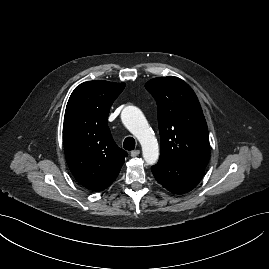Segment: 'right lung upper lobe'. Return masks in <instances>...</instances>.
Segmentation results:
<instances>
[{
	"mask_svg": "<svg viewBox=\"0 0 269 269\" xmlns=\"http://www.w3.org/2000/svg\"><path fill=\"white\" fill-rule=\"evenodd\" d=\"M124 87L104 80L84 82L67 103L63 125L67 164L75 179L93 191L111 185L128 155L116 145L107 124L110 107Z\"/></svg>",
	"mask_w": 269,
	"mask_h": 269,
	"instance_id": "obj_1",
	"label": "right lung upper lobe"
}]
</instances>
